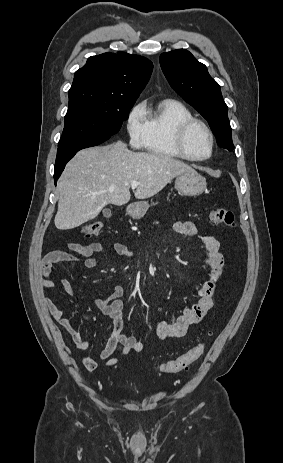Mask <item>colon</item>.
I'll return each instance as SVG.
<instances>
[{
  "mask_svg": "<svg viewBox=\"0 0 283 463\" xmlns=\"http://www.w3.org/2000/svg\"><path fill=\"white\" fill-rule=\"evenodd\" d=\"M210 222L234 228L236 225L235 216L228 209L218 208L210 211ZM103 228L101 222H91L82 227V234L86 238L97 236ZM205 350V343H199L185 353L177 356L160 365L159 369L164 373H177L186 370L191 364L197 361Z\"/></svg>",
  "mask_w": 283,
  "mask_h": 463,
  "instance_id": "5ec220e1",
  "label": "colon"
}]
</instances>
